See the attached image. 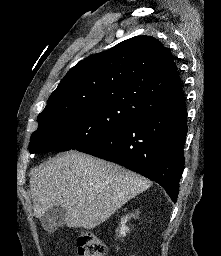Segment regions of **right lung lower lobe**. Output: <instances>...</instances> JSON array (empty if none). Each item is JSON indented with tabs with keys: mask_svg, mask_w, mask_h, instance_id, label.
<instances>
[{
	"mask_svg": "<svg viewBox=\"0 0 221 256\" xmlns=\"http://www.w3.org/2000/svg\"><path fill=\"white\" fill-rule=\"evenodd\" d=\"M186 135L184 102L139 116L76 150L115 162L157 182L176 203Z\"/></svg>",
	"mask_w": 221,
	"mask_h": 256,
	"instance_id": "right-lung-lower-lobe-1",
	"label": "right lung lower lobe"
}]
</instances>
